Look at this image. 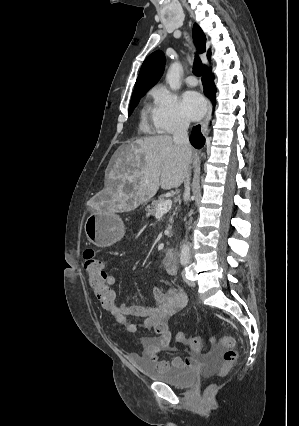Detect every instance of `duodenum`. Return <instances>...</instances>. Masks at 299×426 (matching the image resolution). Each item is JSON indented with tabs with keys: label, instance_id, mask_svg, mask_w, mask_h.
Returning <instances> with one entry per match:
<instances>
[{
	"label": "duodenum",
	"instance_id": "duodenum-1",
	"mask_svg": "<svg viewBox=\"0 0 299 426\" xmlns=\"http://www.w3.org/2000/svg\"><path fill=\"white\" fill-rule=\"evenodd\" d=\"M176 258H177V253L174 249L169 248V249L166 250L164 261L175 262Z\"/></svg>",
	"mask_w": 299,
	"mask_h": 426
}]
</instances>
